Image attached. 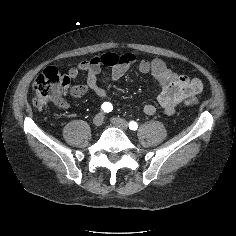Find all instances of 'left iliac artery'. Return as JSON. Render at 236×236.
<instances>
[{"mask_svg": "<svg viewBox=\"0 0 236 236\" xmlns=\"http://www.w3.org/2000/svg\"><path fill=\"white\" fill-rule=\"evenodd\" d=\"M129 129L137 130L138 129V124L134 121L129 122Z\"/></svg>", "mask_w": 236, "mask_h": 236, "instance_id": "1", "label": "left iliac artery"}]
</instances>
